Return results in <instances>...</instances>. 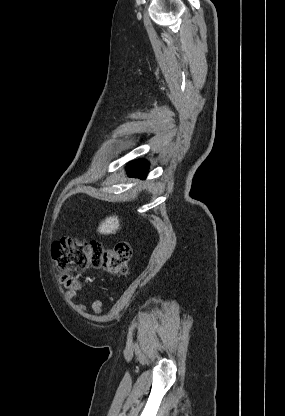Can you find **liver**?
<instances>
[{
    "label": "liver",
    "mask_w": 285,
    "mask_h": 416,
    "mask_svg": "<svg viewBox=\"0 0 285 416\" xmlns=\"http://www.w3.org/2000/svg\"><path fill=\"white\" fill-rule=\"evenodd\" d=\"M119 226L118 216H110L101 222L97 232L99 234H116L117 230H120Z\"/></svg>",
    "instance_id": "1"
}]
</instances>
